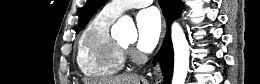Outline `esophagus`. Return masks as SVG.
I'll list each match as a JSON object with an SVG mask.
<instances>
[{"mask_svg": "<svg viewBox=\"0 0 260 84\" xmlns=\"http://www.w3.org/2000/svg\"><path fill=\"white\" fill-rule=\"evenodd\" d=\"M166 34V21L165 18H162V33H161V43L165 37ZM160 43V44H161ZM153 75L156 77V79H160L161 77V69H160V64L157 63L153 69Z\"/></svg>", "mask_w": 260, "mask_h": 84, "instance_id": "esophagus-1", "label": "esophagus"}]
</instances>
